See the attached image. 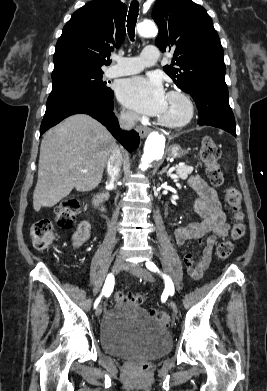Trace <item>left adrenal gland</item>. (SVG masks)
I'll list each match as a JSON object with an SVG mask.
<instances>
[{
    "mask_svg": "<svg viewBox=\"0 0 267 391\" xmlns=\"http://www.w3.org/2000/svg\"><path fill=\"white\" fill-rule=\"evenodd\" d=\"M168 167H169V164H167V166L164 167V168L161 170L160 174L162 175L163 173H167V175H169V173H168V171H167Z\"/></svg>",
    "mask_w": 267,
    "mask_h": 391,
    "instance_id": "1",
    "label": "left adrenal gland"
}]
</instances>
